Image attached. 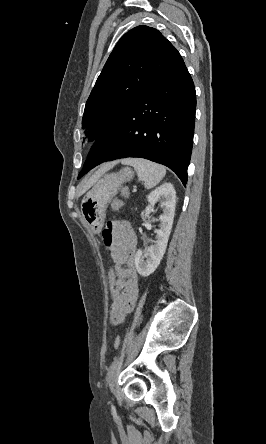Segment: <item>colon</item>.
<instances>
[{
  "label": "colon",
  "instance_id": "colon-1",
  "mask_svg": "<svg viewBox=\"0 0 266 444\" xmlns=\"http://www.w3.org/2000/svg\"><path fill=\"white\" fill-rule=\"evenodd\" d=\"M129 196V191L126 187H122L120 189V197L115 199L112 204H111V208L114 211H117L121 208L122 203H123V199L128 198ZM117 280H118V276H117V272L115 270V268L112 266L110 267V269L108 270L107 274H106V282H107V286L109 291L112 293L117 285ZM121 344V337L117 336L114 340V348L117 349L120 347Z\"/></svg>",
  "mask_w": 266,
  "mask_h": 444
}]
</instances>
